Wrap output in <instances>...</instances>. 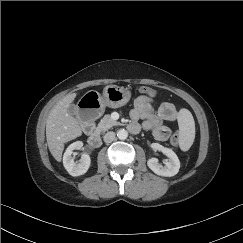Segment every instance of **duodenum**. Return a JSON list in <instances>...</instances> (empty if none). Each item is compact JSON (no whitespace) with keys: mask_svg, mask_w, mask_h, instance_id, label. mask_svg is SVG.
Listing matches in <instances>:
<instances>
[{"mask_svg":"<svg viewBox=\"0 0 243 243\" xmlns=\"http://www.w3.org/2000/svg\"><path fill=\"white\" fill-rule=\"evenodd\" d=\"M86 127L90 130L93 125L91 123H87ZM88 143L92 147H99L102 144V139L97 132H92L88 137Z\"/></svg>","mask_w":243,"mask_h":243,"instance_id":"duodenum-1","label":"duodenum"}]
</instances>
